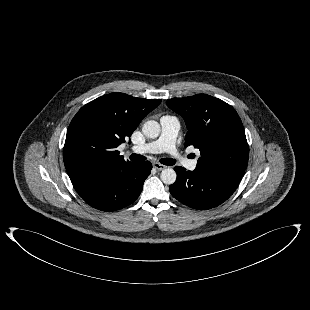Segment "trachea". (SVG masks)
<instances>
[{"label":"trachea","instance_id":"1","mask_svg":"<svg viewBox=\"0 0 310 310\" xmlns=\"http://www.w3.org/2000/svg\"><path fill=\"white\" fill-rule=\"evenodd\" d=\"M129 158L131 161H144V160H146L145 156L138 155V154H131ZM160 162L164 165L172 166L176 163V160H174L172 158H163L160 160Z\"/></svg>","mask_w":310,"mask_h":310}]
</instances>
